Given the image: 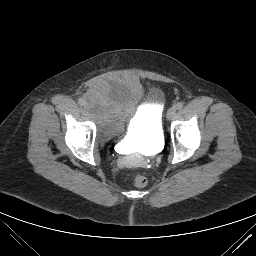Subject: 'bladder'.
Wrapping results in <instances>:
<instances>
[{
	"label": "bladder",
	"instance_id": "bladder-1",
	"mask_svg": "<svg viewBox=\"0 0 256 256\" xmlns=\"http://www.w3.org/2000/svg\"><path fill=\"white\" fill-rule=\"evenodd\" d=\"M86 109L101 140L125 134L131 145L157 148L163 142L164 93L156 87L144 88L137 80L105 77L86 95ZM144 103L138 112V106ZM132 119L124 133V124Z\"/></svg>",
	"mask_w": 256,
	"mask_h": 256
}]
</instances>
